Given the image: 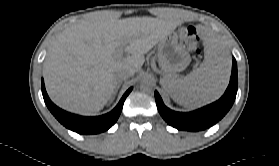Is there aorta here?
Here are the masks:
<instances>
[{
    "label": "aorta",
    "instance_id": "762f6f07",
    "mask_svg": "<svg viewBox=\"0 0 279 166\" xmlns=\"http://www.w3.org/2000/svg\"><path fill=\"white\" fill-rule=\"evenodd\" d=\"M140 89L143 92L150 93L154 89L153 82L149 78H143L140 83Z\"/></svg>",
    "mask_w": 279,
    "mask_h": 166
}]
</instances>
